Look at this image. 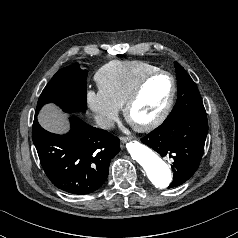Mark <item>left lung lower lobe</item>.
<instances>
[{"label":"left lung lower lobe","instance_id":"0a47b994","mask_svg":"<svg viewBox=\"0 0 238 238\" xmlns=\"http://www.w3.org/2000/svg\"><path fill=\"white\" fill-rule=\"evenodd\" d=\"M207 133L206 113L178 114L167 117L141 139L162 157L170 158L174 175L169 188L177 187L193 176L204 152Z\"/></svg>","mask_w":238,"mask_h":238}]
</instances>
